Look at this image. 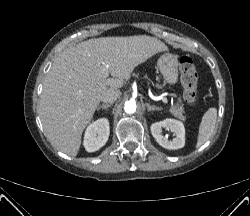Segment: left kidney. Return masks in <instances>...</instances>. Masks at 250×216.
<instances>
[{
	"label": "left kidney",
	"mask_w": 250,
	"mask_h": 216,
	"mask_svg": "<svg viewBox=\"0 0 250 216\" xmlns=\"http://www.w3.org/2000/svg\"><path fill=\"white\" fill-rule=\"evenodd\" d=\"M171 130L175 136L172 140L162 135L163 129ZM151 133L156 141L163 148L176 150L183 148L185 145V128L181 121L175 119H165L160 122L153 123L150 127Z\"/></svg>",
	"instance_id": "obj_1"
}]
</instances>
